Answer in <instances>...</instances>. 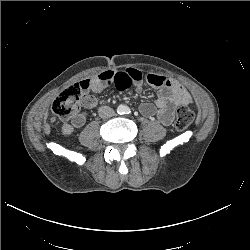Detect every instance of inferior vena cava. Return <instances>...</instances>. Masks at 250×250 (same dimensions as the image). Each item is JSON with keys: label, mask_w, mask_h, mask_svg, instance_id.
Wrapping results in <instances>:
<instances>
[{"label": "inferior vena cava", "mask_w": 250, "mask_h": 250, "mask_svg": "<svg viewBox=\"0 0 250 250\" xmlns=\"http://www.w3.org/2000/svg\"><path fill=\"white\" fill-rule=\"evenodd\" d=\"M98 113L101 118H109L115 114L114 110L109 106L100 107Z\"/></svg>", "instance_id": "1"}]
</instances>
